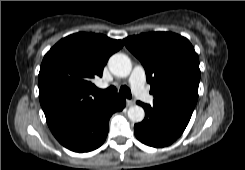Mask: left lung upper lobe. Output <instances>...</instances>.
I'll return each instance as SVG.
<instances>
[{"mask_svg": "<svg viewBox=\"0 0 245 170\" xmlns=\"http://www.w3.org/2000/svg\"><path fill=\"white\" fill-rule=\"evenodd\" d=\"M123 42L144 66L154 103L192 113L198 99L200 69L188 39L172 32H150Z\"/></svg>", "mask_w": 245, "mask_h": 170, "instance_id": "1", "label": "left lung upper lobe"}]
</instances>
